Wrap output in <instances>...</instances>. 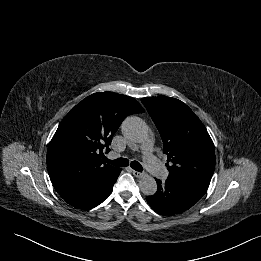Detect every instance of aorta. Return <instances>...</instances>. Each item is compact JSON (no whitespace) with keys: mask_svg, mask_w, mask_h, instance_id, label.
<instances>
[{"mask_svg":"<svg viewBox=\"0 0 261 261\" xmlns=\"http://www.w3.org/2000/svg\"><path fill=\"white\" fill-rule=\"evenodd\" d=\"M123 135L130 141L141 143L148 137V127L143 120L138 117H128L121 126ZM141 192L146 196H152L157 191L155 179L149 175L141 178L139 182Z\"/></svg>","mask_w":261,"mask_h":261,"instance_id":"762f6f07","label":"aorta"}]
</instances>
